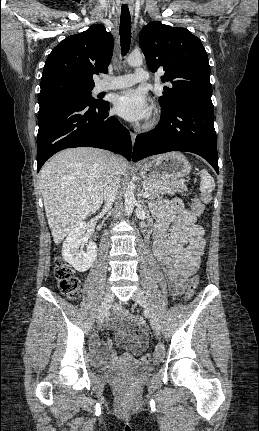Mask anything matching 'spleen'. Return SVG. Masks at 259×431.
Here are the masks:
<instances>
[{"instance_id":"obj_1","label":"spleen","mask_w":259,"mask_h":431,"mask_svg":"<svg viewBox=\"0 0 259 431\" xmlns=\"http://www.w3.org/2000/svg\"><path fill=\"white\" fill-rule=\"evenodd\" d=\"M200 191L201 193H210L215 188V182L213 177L208 173L206 169L201 172Z\"/></svg>"}]
</instances>
